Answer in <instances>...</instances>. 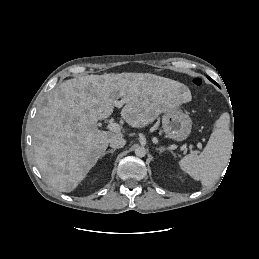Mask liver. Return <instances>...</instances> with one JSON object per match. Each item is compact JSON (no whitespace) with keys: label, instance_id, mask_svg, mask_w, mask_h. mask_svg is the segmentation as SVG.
<instances>
[{"label":"liver","instance_id":"liver-1","mask_svg":"<svg viewBox=\"0 0 259 259\" xmlns=\"http://www.w3.org/2000/svg\"><path fill=\"white\" fill-rule=\"evenodd\" d=\"M180 82L149 73L87 75L64 81L50 92L35 117V162L46 182L71 192L108 147L112 133L98 129L117 99H126L122 118L132 127L152 123L162 112L190 100Z\"/></svg>","mask_w":259,"mask_h":259}]
</instances>
